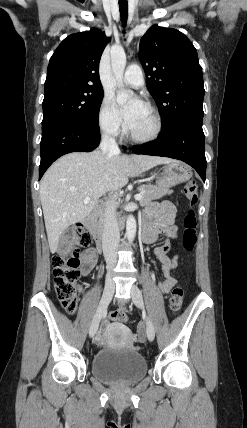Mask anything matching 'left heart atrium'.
<instances>
[{
  "instance_id": "1",
  "label": "left heart atrium",
  "mask_w": 247,
  "mask_h": 428,
  "mask_svg": "<svg viewBox=\"0 0 247 428\" xmlns=\"http://www.w3.org/2000/svg\"><path fill=\"white\" fill-rule=\"evenodd\" d=\"M146 108L147 106L145 102L140 98H132L130 102L120 110L125 125L131 129L136 124Z\"/></svg>"
}]
</instances>
